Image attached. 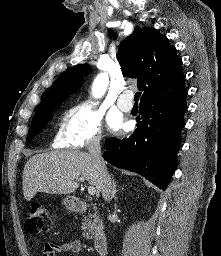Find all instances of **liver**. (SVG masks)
Returning a JSON list of instances; mask_svg holds the SVG:
<instances>
[{
    "label": "liver",
    "instance_id": "1",
    "mask_svg": "<svg viewBox=\"0 0 221 256\" xmlns=\"http://www.w3.org/2000/svg\"><path fill=\"white\" fill-rule=\"evenodd\" d=\"M81 178L101 191L100 171L89 153L64 150L36 154L23 170L24 198L30 201L37 192L74 193Z\"/></svg>",
    "mask_w": 221,
    "mask_h": 256
}]
</instances>
